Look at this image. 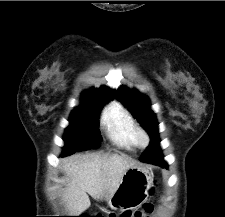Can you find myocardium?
Wrapping results in <instances>:
<instances>
[{"instance_id":"f54148a6","label":"myocardium","mask_w":225,"mask_h":217,"mask_svg":"<svg viewBox=\"0 0 225 217\" xmlns=\"http://www.w3.org/2000/svg\"><path fill=\"white\" fill-rule=\"evenodd\" d=\"M136 138H137L138 144L142 147H146L150 143L149 135L147 134L146 131L142 129H137Z\"/></svg>"}]
</instances>
